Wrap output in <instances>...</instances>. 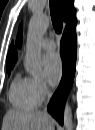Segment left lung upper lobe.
Wrapping results in <instances>:
<instances>
[{
	"mask_svg": "<svg viewBox=\"0 0 95 130\" xmlns=\"http://www.w3.org/2000/svg\"><path fill=\"white\" fill-rule=\"evenodd\" d=\"M21 41H22V32H21V28L19 30V35L17 38V45L20 46L21 45Z\"/></svg>",
	"mask_w": 95,
	"mask_h": 130,
	"instance_id": "1",
	"label": "left lung upper lobe"
}]
</instances>
